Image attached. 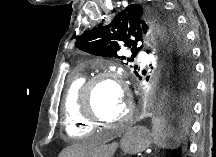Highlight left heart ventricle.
<instances>
[{"mask_svg": "<svg viewBox=\"0 0 216 157\" xmlns=\"http://www.w3.org/2000/svg\"><path fill=\"white\" fill-rule=\"evenodd\" d=\"M93 99L97 115L109 122L119 119L128 108L121 89L109 82L95 88Z\"/></svg>", "mask_w": 216, "mask_h": 157, "instance_id": "obj_1", "label": "left heart ventricle"}]
</instances>
